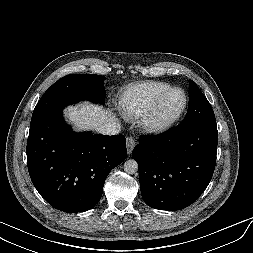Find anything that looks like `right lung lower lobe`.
I'll list each match as a JSON object with an SVG mask.
<instances>
[{
  "mask_svg": "<svg viewBox=\"0 0 253 253\" xmlns=\"http://www.w3.org/2000/svg\"><path fill=\"white\" fill-rule=\"evenodd\" d=\"M26 153L29 175L39 194L68 213L94 207L108 174L127 155L123 135L74 133L61 111L30 125Z\"/></svg>",
  "mask_w": 253,
  "mask_h": 253,
  "instance_id": "obj_1",
  "label": "right lung lower lobe"
}]
</instances>
